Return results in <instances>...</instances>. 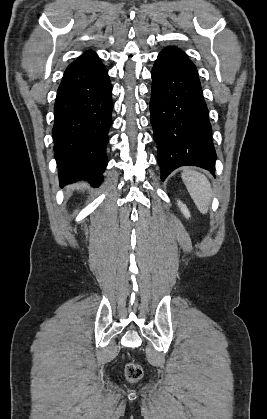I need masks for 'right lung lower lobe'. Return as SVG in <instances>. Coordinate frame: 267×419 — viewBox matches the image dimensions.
<instances>
[{
	"instance_id": "right-lung-lower-lobe-1",
	"label": "right lung lower lobe",
	"mask_w": 267,
	"mask_h": 419,
	"mask_svg": "<svg viewBox=\"0 0 267 419\" xmlns=\"http://www.w3.org/2000/svg\"><path fill=\"white\" fill-rule=\"evenodd\" d=\"M112 86L101 61H74L57 91L52 129L61 186L88 180L97 186L107 166Z\"/></svg>"
}]
</instances>
